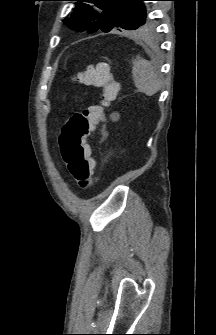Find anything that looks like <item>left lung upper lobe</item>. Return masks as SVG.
<instances>
[{"label": "left lung upper lobe", "instance_id": "1", "mask_svg": "<svg viewBox=\"0 0 216 335\" xmlns=\"http://www.w3.org/2000/svg\"><path fill=\"white\" fill-rule=\"evenodd\" d=\"M77 1L71 16L64 22L73 30L89 33L112 29L149 31L153 22L143 4L148 0H73Z\"/></svg>", "mask_w": 216, "mask_h": 335}]
</instances>
